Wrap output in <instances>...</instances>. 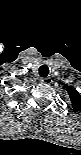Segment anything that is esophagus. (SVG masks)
Masks as SVG:
<instances>
[{
  "label": "esophagus",
  "instance_id": "1",
  "mask_svg": "<svg viewBox=\"0 0 81 155\" xmlns=\"http://www.w3.org/2000/svg\"><path fill=\"white\" fill-rule=\"evenodd\" d=\"M40 82L44 83V84H51L52 79L50 77H42V78H40Z\"/></svg>",
  "mask_w": 81,
  "mask_h": 155
}]
</instances>
